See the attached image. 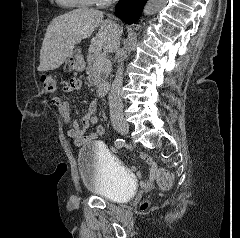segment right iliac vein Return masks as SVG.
I'll use <instances>...</instances> for the list:
<instances>
[{"instance_id":"right-iliac-vein-1","label":"right iliac vein","mask_w":240,"mask_h":238,"mask_svg":"<svg viewBox=\"0 0 240 238\" xmlns=\"http://www.w3.org/2000/svg\"><path fill=\"white\" fill-rule=\"evenodd\" d=\"M115 128L117 131L123 135L127 134L129 132V125L125 121H118L115 124Z\"/></svg>"}]
</instances>
